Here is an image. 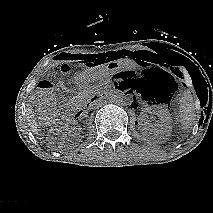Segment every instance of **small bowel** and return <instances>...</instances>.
<instances>
[{"mask_svg": "<svg viewBox=\"0 0 213 213\" xmlns=\"http://www.w3.org/2000/svg\"><path fill=\"white\" fill-rule=\"evenodd\" d=\"M120 80H119V85H122L124 82H125V80H126V78L125 77H123V76H119L118 77Z\"/></svg>", "mask_w": 213, "mask_h": 213, "instance_id": "1", "label": "small bowel"}]
</instances>
